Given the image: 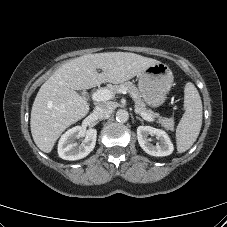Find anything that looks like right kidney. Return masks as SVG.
<instances>
[{
    "mask_svg": "<svg viewBox=\"0 0 227 227\" xmlns=\"http://www.w3.org/2000/svg\"><path fill=\"white\" fill-rule=\"evenodd\" d=\"M81 145H77L75 140L84 137ZM97 138L96 129L85 130L81 126H75L66 131L58 143L59 157L65 160H79L86 157L95 147Z\"/></svg>",
    "mask_w": 227,
    "mask_h": 227,
    "instance_id": "obj_1",
    "label": "right kidney"
}]
</instances>
